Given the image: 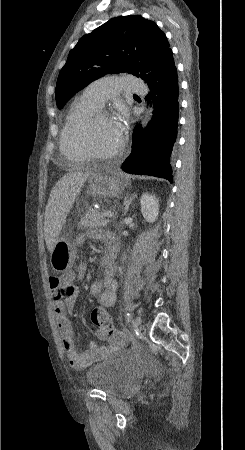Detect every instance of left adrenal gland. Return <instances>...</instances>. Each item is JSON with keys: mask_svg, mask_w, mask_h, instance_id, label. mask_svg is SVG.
<instances>
[{"mask_svg": "<svg viewBox=\"0 0 245 450\" xmlns=\"http://www.w3.org/2000/svg\"><path fill=\"white\" fill-rule=\"evenodd\" d=\"M135 197H136V194H133V195L127 194L125 196V198H124V206H125L124 207V215H126L128 209H129V206L132 203V201L135 199Z\"/></svg>", "mask_w": 245, "mask_h": 450, "instance_id": "left-adrenal-gland-1", "label": "left adrenal gland"}]
</instances>
